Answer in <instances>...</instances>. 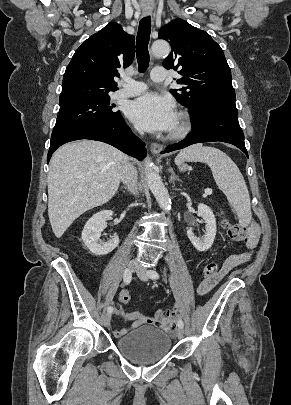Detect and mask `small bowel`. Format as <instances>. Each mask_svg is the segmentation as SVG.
<instances>
[{
	"label": "small bowel",
	"instance_id": "small-bowel-1",
	"mask_svg": "<svg viewBox=\"0 0 291 405\" xmlns=\"http://www.w3.org/2000/svg\"><path fill=\"white\" fill-rule=\"evenodd\" d=\"M259 239V229L255 224L249 227V239L247 242L248 252L242 254L230 255L223 263L218 276L214 280H203L198 287V294L204 295L208 293L217 283L219 279L225 276L235 267L247 262L252 254V250L257 245ZM114 313L128 321H132L130 329H134L143 324L156 325L164 330H171L174 328L177 319L180 315L179 305H174L172 308L159 309L154 317L146 316L140 312H126L121 305H116L114 307ZM130 329L119 328L113 331L116 338H120L125 335Z\"/></svg>",
	"mask_w": 291,
	"mask_h": 405
}]
</instances>
